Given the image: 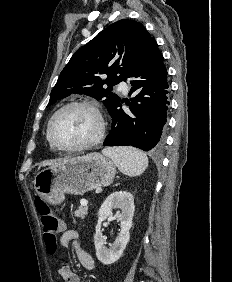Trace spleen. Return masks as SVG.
Wrapping results in <instances>:
<instances>
[{
  "label": "spleen",
  "mask_w": 232,
  "mask_h": 282,
  "mask_svg": "<svg viewBox=\"0 0 232 282\" xmlns=\"http://www.w3.org/2000/svg\"><path fill=\"white\" fill-rule=\"evenodd\" d=\"M102 153L110 157L122 173L129 176L142 174L148 166L147 156L136 148H106Z\"/></svg>",
  "instance_id": "3e777b00"
}]
</instances>
